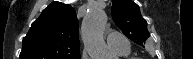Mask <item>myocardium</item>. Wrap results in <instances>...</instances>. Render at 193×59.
<instances>
[{"label": "myocardium", "instance_id": "1", "mask_svg": "<svg viewBox=\"0 0 193 59\" xmlns=\"http://www.w3.org/2000/svg\"><path fill=\"white\" fill-rule=\"evenodd\" d=\"M121 59H139V58H121Z\"/></svg>", "mask_w": 193, "mask_h": 59}]
</instances>
